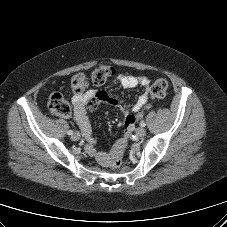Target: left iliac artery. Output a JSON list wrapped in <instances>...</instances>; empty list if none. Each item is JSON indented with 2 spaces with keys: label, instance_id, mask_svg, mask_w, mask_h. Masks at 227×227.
Listing matches in <instances>:
<instances>
[{
  "label": "left iliac artery",
  "instance_id": "1",
  "mask_svg": "<svg viewBox=\"0 0 227 227\" xmlns=\"http://www.w3.org/2000/svg\"><path fill=\"white\" fill-rule=\"evenodd\" d=\"M140 125H141V127H145V126H146V124H145L144 121H142V122L140 123Z\"/></svg>",
  "mask_w": 227,
  "mask_h": 227
}]
</instances>
